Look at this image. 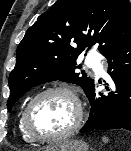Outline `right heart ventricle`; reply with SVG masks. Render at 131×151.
I'll return each instance as SVG.
<instances>
[{
  "mask_svg": "<svg viewBox=\"0 0 131 151\" xmlns=\"http://www.w3.org/2000/svg\"><path fill=\"white\" fill-rule=\"evenodd\" d=\"M18 129L21 135V138L26 142V143H31L33 142L32 140H30L27 135L24 133L23 127H22V114L19 117V121H18Z\"/></svg>",
  "mask_w": 131,
  "mask_h": 151,
  "instance_id": "1",
  "label": "right heart ventricle"
}]
</instances>
